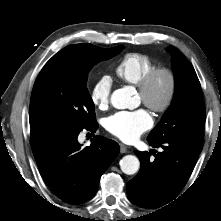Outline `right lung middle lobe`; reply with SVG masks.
Listing matches in <instances>:
<instances>
[{"instance_id":"right-lung-middle-lobe-1","label":"right lung middle lobe","mask_w":221,"mask_h":221,"mask_svg":"<svg viewBox=\"0 0 221 221\" xmlns=\"http://www.w3.org/2000/svg\"><path fill=\"white\" fill-rule=\"evenodd\" d=\"M123 46L103 49L92 44L69 45L39 73L30 101L31 129L47 125L88 128L96 123L86 84L90 69L118 54Z\"/></svg>"}]
</instances>
